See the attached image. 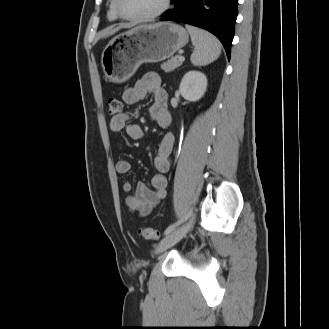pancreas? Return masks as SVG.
<instances>
[{"label":"pancreas","mask_w":329,"mask_h":329,"mask_svg":"<svg viewBox=\"0 0 329 329\" xmlns=\"http://www.w3.org/2000/svg\"><path fill=\"white\" fill-rule=\"evenodd\" d=\"M182 65V62L179 61V57H173L170 60H168L167 62H164L161 64V68L165 71V72H171L174 69L178 68L179 66Z\"/></svg>","instance_id":"pancreas-1"}]
</instances>
